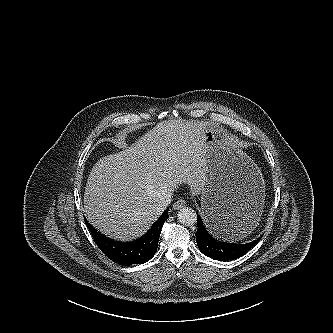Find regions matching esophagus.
Returning <instances> with one entry per match:
<instances>
[{
	"label": "esophagus",
	"mask_w": 333,
	"mask_h": 333,
	"mask_svg": "<svg viewBox=\"0 0 333 333\" xmlns=\"http://www.w3.org/2000/svg\"><path fill=\"white\" fill-rule=\"evenodd\" d=\"M186 205V202L182 199L177 200L174 204H173V209L174 210H179L182 207H184Z\"/></svg>",
	"instance_id": "esophagus-1"
}]
</instances>
